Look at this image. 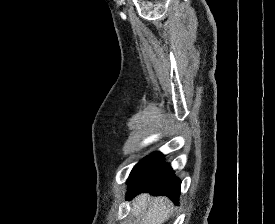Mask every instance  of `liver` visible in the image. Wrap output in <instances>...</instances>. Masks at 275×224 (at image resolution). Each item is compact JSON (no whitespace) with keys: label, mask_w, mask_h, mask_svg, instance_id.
Masks as SVG:
<instances>
[{"label":"liver","mask_w":275,"mask_h":224,"mask_svg":"<svg viewBox=\"0 0 275 224\" xmlns=\"http://www.w3.org/2000/svg\"><path fill=\"white\" fill-rule=\"evenodd\" d=\"M171 211L172 203L166 197H151L148 193L138 195L131 209L136 217L143 214V224H163Z\"/></svg>","instance_id":"6515ba94"}]
</instances>
